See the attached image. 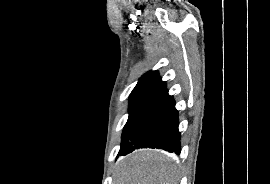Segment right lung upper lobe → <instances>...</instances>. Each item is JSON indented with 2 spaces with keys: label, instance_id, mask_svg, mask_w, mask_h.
Here are the masks:
<instances>
[{
  "label": "right lung upper lobe",
  "instance_id": "1",
  "mask_svg": "<svg viewBox=\"0 0 270 184\" xmlns=\"http://www.w3.org/2000/svg\"><path fill=\"white\" fill-rule=\"evenodd\" d=\"M165 88L166 83L161 80L158 72L149 71L140 78L139 82L133 89L130 98H150Z\"/></svg>",
  "mask_w": 270,
  "mask_h": 184
}]
</instances>
